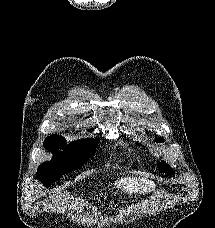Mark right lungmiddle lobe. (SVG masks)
<instances>
[{
	"mask_svg": "<svg viewBox=\"0 0 215 228\" xmlns=\"http://www.w3.org/2000/svg\"><path fill=\"white\" fill-rule=\"evenodd\" d=\"M64 139L58 135L45 139L44 147L53 152L50 162L42 164L37 173L38 179L44 186L53 183L59 176L80 169L84 163L95 153L99 139H86L74 142L66 147L63 152Z\"/></svg>",
	"mask_w": 215,
	"mask_h": 228,
	"instance_id": "right-lung-middle-lobe-1",
	"label": "right lung middle lobe"
}]
</instances>
